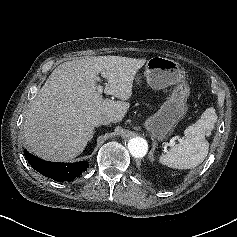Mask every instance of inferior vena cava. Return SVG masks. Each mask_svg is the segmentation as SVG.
Here are the masks:
<instances>
[{
    "label": "inferior vena cava",
    "instance_id": "1",
    "mask_svg": "<svg viewBox=\"0 0 237 237\" xmlns=\"http://www.w3.org/2000/svg\"><path fill=\"white\" fill-rule=\"evenodd\" d=\"M113 122V119L107 116H98L93 120L94 126L108 125Z\"/></svg>",
    "mask_w": 237,
    "mask_h": 237
}]
</instances>
